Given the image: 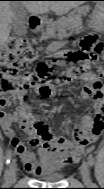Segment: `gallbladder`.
Segmentation results:
<instances>
[{
	"label": "gallbladder",
	"mask_w": 104,
	"mask_h": 189,
	"mask_svg": "<svg viewBox=\"0 0 104 189\" xmlns=\"http://www.w3.org/2000/svg\"><path fill=\"white\" fill-rule=\"evenodd\" d=\"M13 11L14 18L11 23V30L17 35H23L27 31V12L22 2H11L10 6Z\"/></svg>",
	"instance_id": "obj_1"
}]
</instances>
